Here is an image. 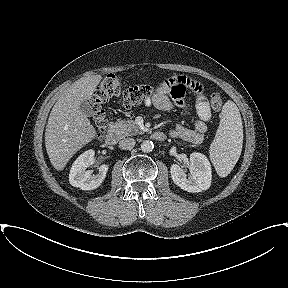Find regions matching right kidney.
Wrapping results in <instances>:
<instances>
[{
    "label": "right kidney",
    "mask_w": 288,
    "mask_h": 288,
    "mask_svg": "<svg viewBox=\"0 0 288 288\" xmlns=\"http://www.w3.org/2000/svg\"><path fill=\"white\" fill-rule=\"evenodd\" d=\"M94 154V150H87L74 161L69 174V182L72 186L82 190H93L101 185L109 167L106 164L101 165L96 175L86 170L94 162Z\"/></svg>",
    "instance_id": "1"
}]
</instances>
